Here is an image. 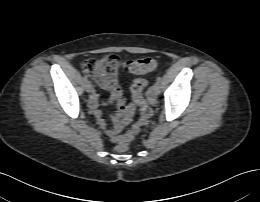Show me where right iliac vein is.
<instances>
[{
  "label": "right iliac vein",
  "instance_id": "right-iliac-vein-1",
  "mask_svg": "<svg viewBox=\"0 0 260 202\" xmlns=\"http://www.w3.org/2000/svg\"><path fill=\"white\" fill-rule=\"evenodd\" d=\"M85 89L88 93H91L93 91V87H92V84L90 82H87L85 84Z\"/></svg>",
  "mask_w": 260,
  "mask_h": 202
}]
</instances>
